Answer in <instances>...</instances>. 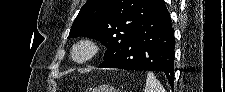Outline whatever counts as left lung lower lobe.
I'll use <instances>...</instances> for the list:
<instances>
[{
    "instance_id": "left-lung-lower-lobe-1",
    "label": "left lung lower lobe",
    "mask_w": 225,
    "mask_h": 92,
    "mask_svg": "<svg viewBox=\"0 0 225 92\" xmlns=\"http://www.w3.org/2000/svg\"><path fill=\"white\" fill-rule=\"evenodd\" d=\"M174 45L170 14L164 6L117 53L103 61L99 68L162 71L173 87Z\"/></svg>"
}]
</instances>
